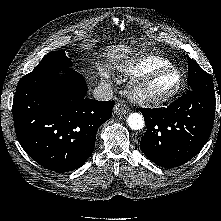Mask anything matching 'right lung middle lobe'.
<instances>
[{
  "mask_svg": "<svg viewBox=\"0 0 221 221\" xmlns=\"http://www.w3.org/2000/svg\"><path fill=\"white\" fill-rule=\"evenodd\" d=\"M71 66L72 61L65 55L64 50L52 51L43 57L41 62L34 68L32 72L34 73L50 67L65 68Z\"/></svg>",
  "mask_w": 221,
  "mask_h": 221,
  "instance_id": "1",
  "label": "right lung middle lobe"
}]
</instances>
